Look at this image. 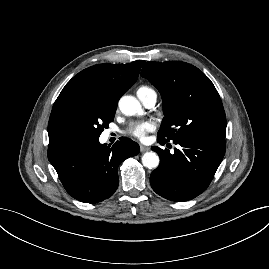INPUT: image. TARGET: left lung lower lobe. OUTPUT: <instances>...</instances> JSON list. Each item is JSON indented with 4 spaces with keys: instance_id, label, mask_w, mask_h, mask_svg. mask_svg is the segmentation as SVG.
<instances>
[{
    "instance_id": "1",
    "label": "left lung lower lobe",
    "mask_w": 269,
    "mask_h": 269,
    "mask_svg": "<svg viewBox=\"0 0 269 269\" xmlns=\"http://www.w3.org/2000/svg\"><path fill=\"white\" fill-rule=\"evenodd\" d=\"M174 144L181 146L174 149V154L168 149L152 147L160 157V165L151 173L150 184L165 199L188 201L209 186L224 157L226 141L219 137L195 136L176 140Z\"/></svg>"
}]
</instances>
